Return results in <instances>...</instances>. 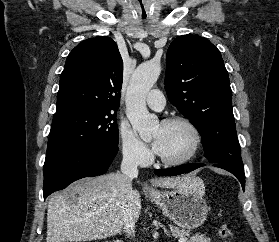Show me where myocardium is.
I'll use <instances>...</instances> for the list:
<instances>
[{"mask_svg": "<svg viewBox=\"0 0 279 242\" xmlns=\"http://www.w3.org/2000/svg\"><path fill=\"white\" fill-rule=\"evenodd\" d=\"M176 123L183 124L190 130L192 134V146L186 155L178 159H168L158 153L159 161L167 166H180L188 163L196 156L202 144L201 131L191 119L184 116H171L161 121L162 125H171Z\"/></svg>", "mask_w": 279, "mask_h": 242, "instance_id": "obj_1", "label": "myocardium"}]
</instances>
